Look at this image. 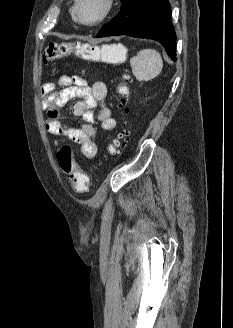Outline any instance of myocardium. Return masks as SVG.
<instances>
[{
  "label": "myocardium",
  "mask_w": 233,
  "mask_h": 328,
  "mask_svg": "<svg viewBox=\"0 0 233 328\" xmlns=\"http://www.w3.org/2000/svg\"><path fill=\"white\" fill-rule=\"evenodd\" d=\"M80 3L81 0H74L73 14L75 16L76 21L85 26H96L102 23L104 20L107 19V17L110 15L114 8V0H103L104 7L101 14L92 21H85L81 16Z\"/></svg>",
  "instance_id": "1"
}]
</instances>
